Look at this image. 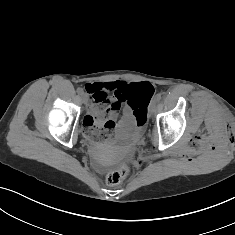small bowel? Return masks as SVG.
I'll list each match as a JSON object with an SVG mask.
<instances>
[{
	"label": "small bowel",
	"mask_w": 235,
	"mask_h": 235,
	"mask_svg": "<svg viewBox=\"0 0 235 235\" xmlns=\"http://www.w3.org/2000/svg\"><path fill=\"white\" fill-rule=\"evenodd\" d=\"M131 84L136 83H126L123 81H114V82H96L89 83L87 85V90L92 94V102L89 105V114L87 117H91L101 112L102 110H107L109 113V121L100 129V132L109 134V137L112 135L113 131L117 128V118L121 108V95L124 90ZM108 94H113V96H108ZM99 95H103L105 100L101 102L98 99ZM124 120L131 121V110L129 107L124 110ZM86 117V119H87ZM85 119V123H86ZM92 132L97 134V129H93Z\"/></svg>",
	"instance_id": "c3829d8e"
}]
</instances>
